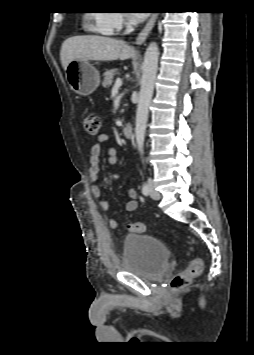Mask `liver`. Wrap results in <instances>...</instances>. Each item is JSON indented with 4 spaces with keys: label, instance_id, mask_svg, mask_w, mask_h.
Listing matches in <instances>:
<instances>
[{
    "label": "liver",
    "instance_id": "obj_1",
    "mask_svg": "<svg viewBox=\"0 0 254 355\" xmlns=\"http://www.w3.org/2000/svg\"><path fill=\"white\" fill-rule=\"evenodd\" d=\"M136 57L135 50L122 40L100 35L74 36L61 47L60 59L64 70L73 60L113 61Z\"/></svg>",
    "mask_w": 254,
    "mask_h": 355
}]
</instances>
